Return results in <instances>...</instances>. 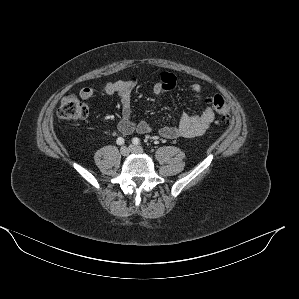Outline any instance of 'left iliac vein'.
I'll return each instance as SVG.
<instances>
[{
  "label": "left iliac vein",
  "mask_w": 299,
  "mask_h": 299,
  "mask_svg": "<svg viewBox=\"0 0 299 299\" xmlns=\"http://www.w3.org/2000/svg\"><path fill=\"white\" fill-rule=\"evenodd\" d=\"M129 149H130V152H132V153H138V154H140V153L143 152V149L140 146L130 145Z\"/></svg>",
  "instance_id": "left-iliac-vein-1"
}]
</instances>
